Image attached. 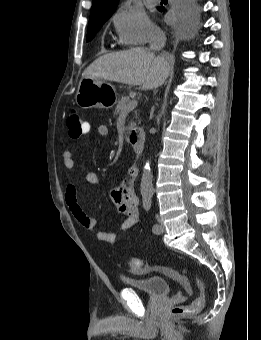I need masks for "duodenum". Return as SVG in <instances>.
Wrapping results in <instances>:
<instances>
[{
	"instance_id": "1",
	"label": "duodenum",
	"mask_w": 261,
	"mask_h": 340,
	"mask_svg": "<svg viewBox=\"0 0 261 340\" xmlns=\"http://www.w3.org/2000/svg\"><path fill=\"white\" fill-rule=\"evenodd\" d=\"M129 142L135 153H141L144 148L145 134L142 130H133L129 134Z\"/></svg>"
}]
</instances>
